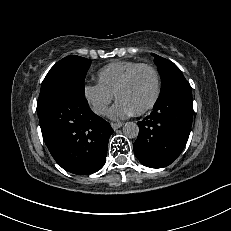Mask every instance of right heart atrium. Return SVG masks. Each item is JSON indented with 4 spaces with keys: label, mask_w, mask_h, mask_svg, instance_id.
<instances>
[{
    "label": "right heart atrium",
    "mask_w": 231,
    "mask_h": 231,
    "mask_svg": "<svg viewBox=\"0 0 231 231\" xmlns=\"http://www.w3.org/2000/svg\"><path fill=\"white\" fill-rule=\"evenodd\" d=\"M83 94L92 110L98 115H104L113 100L114 94L99 83H88L83 87Z\"/></svg>",
    "instance_id": "1"
}]
</instances>
